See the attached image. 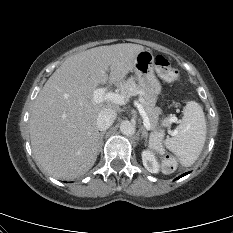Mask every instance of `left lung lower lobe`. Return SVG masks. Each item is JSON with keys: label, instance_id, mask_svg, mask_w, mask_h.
I'll use <instances>...</instances> for the list:
<instances>
[{"label": "left lung lower lobe", "instance_id": "1", "mask_svg": "<svg viewBox=\"0 0 233 233\" xmlns=\"http://www.w3.org/2000/svg\"><path fill=\"white\" fill-rule=\"evenodd\" d=\"M187 174H189V172H187V173H185V174H183V175L179 176V177H178V178H176V179H179V178H181V177H183V176H185V175H187Z\"/></svg>", "mask_w": 233, "mask_h": 233}]
</instances>
